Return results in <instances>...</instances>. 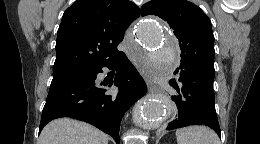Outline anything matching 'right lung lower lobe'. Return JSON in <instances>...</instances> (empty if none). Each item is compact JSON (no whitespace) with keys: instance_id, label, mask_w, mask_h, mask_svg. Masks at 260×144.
<instances>
[{"instance_id":"right-lung-lower-lobe-1","label":"right lung lower lobe","mask_w":260,"mask_h":144,"mask_svg":"<svg viewBox=\"0 0 260 144\" xmlns=\"http://www.w3.org/2000/svg\"><path fill=\"white\" fill-rule=\"evenodd\" d=\"M103 67L117 70L111 82L119 89L117 95L107 94L102 86L106 84L95 82ZM146 92L143 78L125 53L120 52L111 60L83 66L79 71L52 80L39 131L53 119L70 117L94 125L119 144L122 117Z\"/></svg>"}]
</instances>
